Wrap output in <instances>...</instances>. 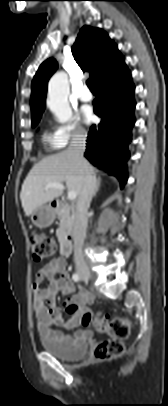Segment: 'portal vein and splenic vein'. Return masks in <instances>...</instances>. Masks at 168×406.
<instances>
[{"mask_svg": "<svg viewBox=\"0 0 168 406\" xmlns=\"http://www.w3.org/2000/svg\"><path fill=\"white\" fill-rule=\"evenodd\" d=\"M51 188H57V189H60V190L65 189L64 185L62 183H59V182H52V183H49V184H47L45 186V190H48V189H51ZM76 197H77V193L75 191L68 192V197L67 198L69 200H74V199H76Z\"/></svg>", "mask_w": 168, "mask_h": 406, "instance_id": "obj_1", "label": "portal vein and splenic vein"}]
</instances>
